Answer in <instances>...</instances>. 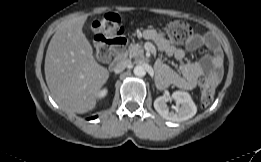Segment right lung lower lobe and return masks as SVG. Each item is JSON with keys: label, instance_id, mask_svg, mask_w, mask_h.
<instances>
[{"label": "right lung lower lobe", "instance_id": "right-lung-lower-lobe-1", "mask_svg": "<svg viewBox=\"0 0 261 162\" xmlns=\"http://www.w3.org/2000/svg\"><path fill=\"white\" fill-rule=\"evenodd\" d=\"M96 118V116H94V117H92V118H90V119H95Z\"/></svg>", "mask_w": 261, "mask_h": 162}]
</instances>
